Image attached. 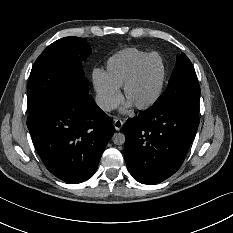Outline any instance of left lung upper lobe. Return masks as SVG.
Segmentation results:
<instances>
[{
  "label": "left lung upper lobe",
  "mask_w": 233,
  "mask_h": 233,
  "mask_svg": "<svg viewBox=\"0 0 233 233\" xmlns=\"http://www.w3.org/2000/svg\"><path fill=\"white\" fill-rule=\"evenodd\" d=\"M199 99L200 86L193 65L184 53L178 54L167 89L152 107L191 106L198 108Z\"/></svg>",
  "instance_id": "obj_1"
}]
</instances>
